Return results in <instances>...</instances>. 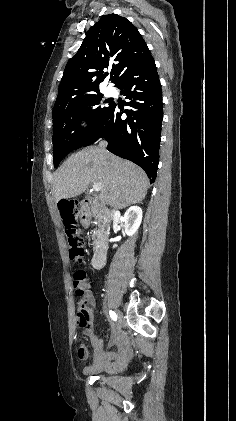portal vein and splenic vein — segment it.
<instances>
[{
    "label": "portal vein and splenic vein",
    "mask_w": 236,
    "mask_h": 421,
    "mask_svg": "<svg viewBox=\"0 0 236 421\" xmlns=\"http://www.w3.org/2000/svg\"><path fill=\"white\" fill-rule=\"evenodd\" d=\"M101 188L100 182H94L92 190H101Z\"/></svg>",
    "instance_id": "1"
}]
</instances>
